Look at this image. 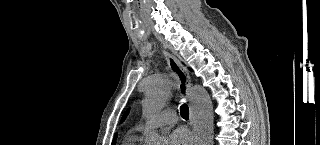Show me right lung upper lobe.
<instances>
[{
	"instance_id": "right-lung-upper-lobe-1",
	"label": "right lung upper lobe",
	"mask_w": 320,
	"mask_h": 145,
	"mask_svg": "<svg viewBox=\"0 0 320 145\" xmlns=\"http://www.w3.org/2000/svg\"><path fill=\"white\" fill-rule=\"evenodd\" d=\"M117 137V135H115V137H114V140H113V143L115 142V138Z\"/></svg>"
}]
</instances>
